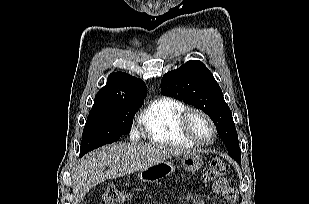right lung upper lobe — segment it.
<instances>
[{"mask_svg":"<svg viewBox=\"0 0 309 204\" xmlns=\"http://www.w3.org/2000/svg\"><path fill=\"white\" fill-rule=\"evenodd\" d=\"M146 97V85L138 78L126 73L113 72L106 86L102 87L94 99V105L122 99H142Z\"/></svg>","mask_w":309,"mask_h":204,"instance_id":"cb5924a9","label":"right lung upper lobe"}]
</instances>
